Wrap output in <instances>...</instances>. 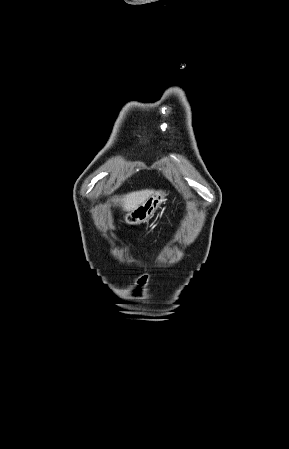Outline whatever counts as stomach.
<instances>
[{"instance_id":"1","label":"stomach","mask_w":289,"mask_h":449,"mask_svg":"<svg viewBox=\"0 0 289 449\" xmlns=\"http://www.w3.org/2000/svg\"><path fill=\"white\" fill-rule=\"evenodd\" d=\"M165 197L166 194L162 190L154 192L142 204L129 211L124 217V222L128 225H138L146 222L160 207Z\"/></svg>"}]
</instances>
